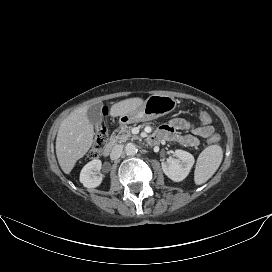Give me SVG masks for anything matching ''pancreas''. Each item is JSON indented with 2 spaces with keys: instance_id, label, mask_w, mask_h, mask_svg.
Here are the masks:
<instances>
[{
  "instance_id": "1",
  "label": "pancreas",
  "mask_w": 272,
  "mask_h": 272,
  "mask_svg": "<svg viewBox=\"0 0 272 272\" xmlns=\"http://www.w3.org/2000/svg\"><path fill=\"white\" fill-rule=\"evenodd\" d=\"M118 131V134L113 133L111 135V141L112 143H122L127 141L130 137H132L133 139H137V136H133L131 133V126H121Z\"/></svg>"
}]
</instances>
